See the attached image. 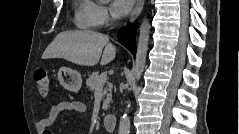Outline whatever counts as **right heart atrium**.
Wrapping results in <instances>:
<instances>
[{
	"label": "right heart atrium",
	"mask_w": 239,
	"mask_h": 134,
	"mask_svg": "<svg viewBox=\"0 0 239 134\" xmlns=\"http://www.w3.org/2000/svg\"><path fill=\"white\" fill-rule=\"evenodd\" d=\"M93 17L95 26H104L111 20L110 10L106 5L94 4Z\"/></svg>",
	"instance_id": "1"
}]
</instances>
